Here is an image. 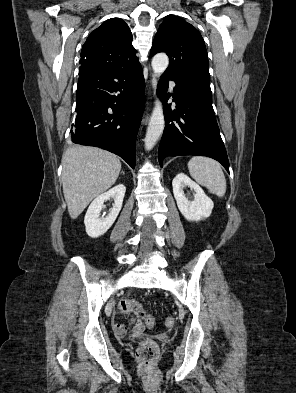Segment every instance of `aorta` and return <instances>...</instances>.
<instances>
[{
  "label": "aorta",
  "instance_id": "aorta-1",
  "mask_svg": "<svg viewBox=\"0 0 296 393\" xmlns=\"http://www.w3.org/2000/svg\"><path fill=\"white\" fill-rule=\"evenodd\" d=\"M169 59L165 53H158L152 59V69L155 74L161 75L168 67ZM165 126L163 106L159 99H156L155 106L148 124L146 137H145V149L151 150L158 139L163 133Z\"/></svg>",
  "mask_w": 296,
  "mask_h": 393
}]
</instances>
